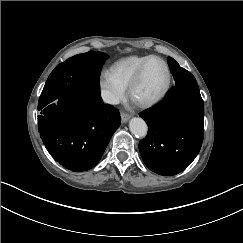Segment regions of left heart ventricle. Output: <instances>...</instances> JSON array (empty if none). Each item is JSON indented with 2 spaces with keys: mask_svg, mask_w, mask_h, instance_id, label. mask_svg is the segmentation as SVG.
<instances>
[{
  "mask_svg": "<svg viewBox=\"0 0 243 243\" xmlns=\"http://www.w3.org/2000/svg\"><path fill=\"white\" fill-rule=\"evenodd\" d=\"M167 81L168 73L164 64L157 60L152 61L134 90V101L141 103L156 98L165 89Z\"/></svg>",
  "mask_w": 243,
  "mask_h": 243,
  "instance_id": "obj_1",
  "label": "left heart ventricle"
}]
</instances>
